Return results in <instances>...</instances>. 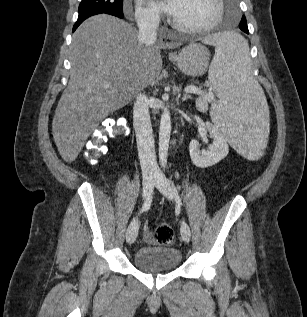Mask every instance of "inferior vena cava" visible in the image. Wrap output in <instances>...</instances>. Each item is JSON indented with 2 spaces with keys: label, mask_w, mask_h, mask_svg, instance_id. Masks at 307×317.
<instances>
[{
  "label": "inferior vena cava",
  "mask_w": 307,
  "mask_h": 317,
  "mask_svg": "<svg viewBox=\"0 0 307 317\" xmlns=\"http://www.w3.org/2000/svg\"><path fill=\"white\" fill-rule=\"evenodd\" d=\"M138 41L142 45L155 42L159 18L157 15H143L138 19ZM133 125L136 133L138 155L144 178L158 173L154 138L149 114V100L144 94H137L133 108Z\"/></svg>",
  "instance_id": "obj_1"
}]
</instances>
